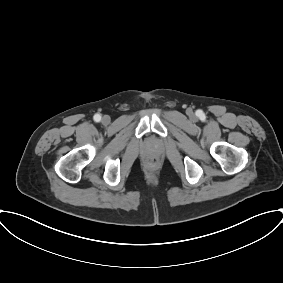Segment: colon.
<instances>
[{
	"mask_svg": "<svg viewBox=\"0 0 283 283\" xmlns=\"http://www.w3.org/2000/svg\"><path fill=\"white\" fill-rule=\"evenodd\" d=\"M150 164L154 165L157 163V160L155 158L150 159Z\"/></svg>",
	"mask_w": 283,
	"mask_h": 283,
	"instance_id": "5ec220e1",
	"label": "colon"
}]
</instances>
